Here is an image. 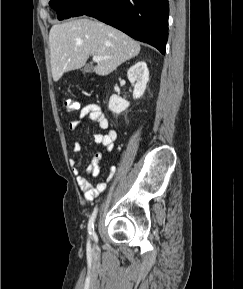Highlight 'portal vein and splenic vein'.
I'll list each match as a JSON object with an SVG mask.
<instances>
[{
    "mask_svg": "<svg viewBox=\"0 0 243 289\" xmlns=\"http://www.w3.org/2000/svg\"><path fill=\"white\" fill-rule=\"evenodd\" d=\"M106 59H108V57L93 56V61L96 62V63H98V62H100L102 60H106Z\"/></svg>",
    "mask_w": 243,
    "mask_h": 289,
    "instance_id": "portal-vein-and-splenic-vein-1",
    "label": "portal vein and splenic vein"
}]
</instances>
